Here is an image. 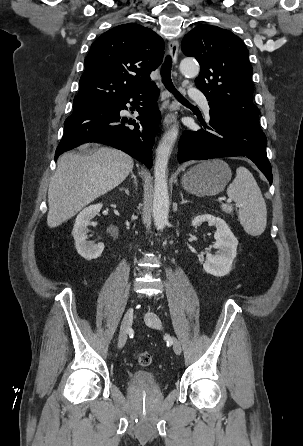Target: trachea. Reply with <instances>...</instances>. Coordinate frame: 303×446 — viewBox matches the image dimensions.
<instances>
[{
  "label": "trachea",
  "instance_id": "3493384b",
  "mask_svg": "<svg viewBox=\"0 0 303 446\" xmlns=\"http://www.w3.org/2000/svg\"><path fill=\"white\" fill-rule=\"evenodd\" d=\"M171 67H172V59L170 56H167L161 68L162 82L167 88V90L170 91L178 99V101L187 103L188 101L177 91V89L172 83Z\"/></svg>",
  "mask_w": 303,
  "mask_h": 446
}]
</instances>
